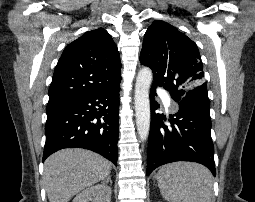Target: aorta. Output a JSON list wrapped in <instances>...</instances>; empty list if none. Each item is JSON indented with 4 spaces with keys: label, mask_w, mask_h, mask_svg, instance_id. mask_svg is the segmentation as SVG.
I'll use <instances>...</instances> for the list:
<instances>
[{
    "label": "aorta",
    "mask_w": 255,
    "mask_h": 202,
    "mask_svg": "<svg viewBox=\"0 0 255 202\" xmlns=\"http://www.w3.org/2000/svg\"><path fill=\"white\" fill-rule=\"evenodd\" d=\"M152 78V70L144 67L138 72L135 84L136 126L142 141L148 138L150 131L149 89Z\"/></svg>",
    "instance_id": "obj_1"
}]
</instances>
